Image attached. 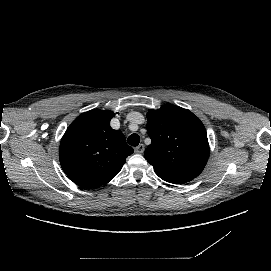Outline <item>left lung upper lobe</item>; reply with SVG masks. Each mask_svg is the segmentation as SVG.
<instances>
[{
  "label": "left lung upper lobe",
  "instance_id": "obj_1",
  "mask_svg": "<svg viewBox=\"0 0 271 271\" xmlns=\"http://www.w3.org/2000/svg\"><path fill=\"white\" fill-rule=\"evenodd\" d=\"M147 119L152 142L144 154L154 170L197 177L209 157L207 133L200 119L171 104L149 110Z\"/></svg>",
  "mask_w": 271,
  "mask_h": 271
}]
</instances>
